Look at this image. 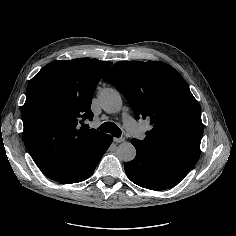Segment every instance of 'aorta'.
Returning <instances> with one entry per match:
<instances>
[{
	"label": "aorta",
	"mask_w": 236,
	"mask_h": 236,
	"mask_svg": "<svg viewBox=\"0 0 236 236\" xmlns=\"http://www.w3.org/2000/svg\"><path fill=\"white\" fill-rule=\"evenodd\" d=\"M99 102L102 109L107 113H116L122 107L120 93L112 88L104 89L99 95ZM117 157L121 161H132L136 156V149L130 142L121 143L116 151Z\"/></svg>",
	"instance_id": "1"
}]
</instances>
